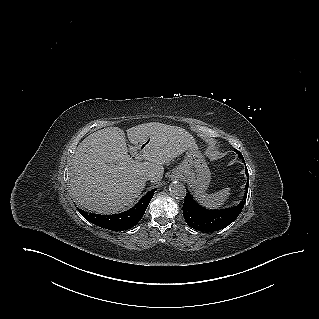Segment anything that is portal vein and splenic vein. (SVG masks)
I'll use <instances>...</instances> for the list:
<instances>
[{
    "mask_svg": "<svg viewBox=\"0 0 319 319\" xmlns=\"http://www.w3.org/2000/svg\"><path fill=\"white\" fill-rule=\"evenodd\" d=\"M130 149H131V150H134V149H135V147H131Z\"/></svg>",
    "mask_w": 319,
    "mask_h": 319,
    "instance_id": "obj_1",
    "label": "portal vein and splenic vein"
}]
</instances>
